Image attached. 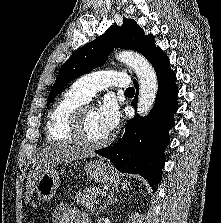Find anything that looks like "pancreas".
Returning <instances> with one entry per match:
<instances>
[{"label": "pancreas", "mask_w": 221, "mask_h": 223, "mask_svg": "<svg viewBox=\"0 0 221 223\" xmlns=\"http://www.w3.org/2000/svg\"><path fill=\"white\" fill-rule=\"evenodd\" d=\"M103 192L101 189L96 187H90L85 189L82 193L79 192L74 196V200L78 205L86 206L87 211L90 214L95 213V203L97 202V195Z\"/></svg>", "instance_id": "cf45deb5"}]
</instances>
